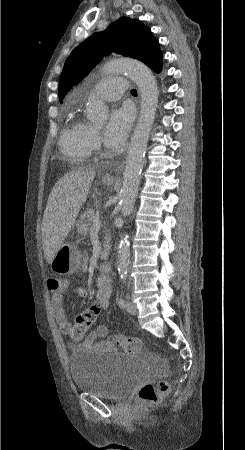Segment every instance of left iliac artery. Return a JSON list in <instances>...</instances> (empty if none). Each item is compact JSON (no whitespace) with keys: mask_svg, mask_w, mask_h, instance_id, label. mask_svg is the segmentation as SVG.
Listing matches in <instances>:
<instances>
[{"mask_svg":"<svg viewBox=\"0 0 245 450\" xmlns=\"http://www.w3.org/2000/svg\"><path fill=\"white\" fill-rule=\"evenodd\" d=\"M121 278H122V281L125 282L126 279L124 277H121ZM118 304L121 308L125 307V301L122 298L118 299Z\"/></svg>","mask_w":245,"mask_h":450,"instance_id":"left-iliac-artery-1","label":"left iliac artery"}]
</instances>
